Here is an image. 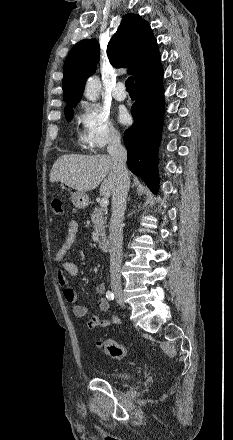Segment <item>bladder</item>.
I'll list each match as a JSON object with an SVG mask.
<instances>
[{"label":"bladder","instance_id":"bladder-1","mask_svg":"<svg viewBox=\"0 0 233 440\" xmlns=\"http://www.w3.org/2000/svg\"><path fill=\"white\" fill-rule=\"evenodd\" d=\"M108 376L120 380H129L133 377V373L129 371H119V372L109 373Z\"/></svg>","mask_w":233,"mask_h":440}]
</instances>
